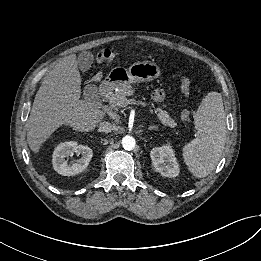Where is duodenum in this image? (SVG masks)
<instances>
[{"instance_id": "410a0bca", "label": "duodenum", "mask_w": 261, "mask_h": 261, "mask_svg": "<svg viewBox=\"0 0 261 261\" xmlns=\"http://www.w3.org/2000/svg\"><path fill=\"white\" fill-rule=\"evenodd\" d=\"M112 83L109 80H103L99 84V93L101 97H106L112 90Z\"/></svg>"}]
</instances>
